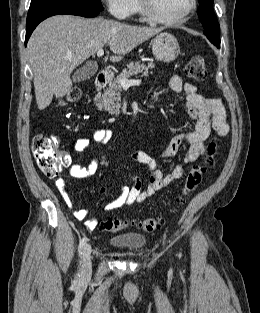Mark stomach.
<instances>
[{"label":"stomach","instance_id":"1","mask_svg":"<svg viewBox=\"0 0 260 313\" xmlns=\"http://www.w3.org/2000/svg\"><path fill=\"white\" fill-rule=\"evenodd\" d=\"M151 45L155 58L165 63L174 61L180 54V47L176 37L168 32L157 34Z\"/></svg>","mask_w":260,"mask_h":313}]
</instances>
